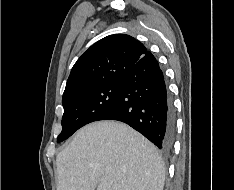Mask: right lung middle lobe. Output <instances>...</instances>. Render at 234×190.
I'll return each mask as SVG.
<instances>
[{
    "label": "right lung middle lobe",
    "instance_id": "dd1d6c3e",
    "mask_svg": "<svg viewBox=\"0 0 234 190\" xmlns=\"http://www.w3.org/2000/svg\"><path fill=\"white\" fill-rule=\"evenodd\" d=\"M120 88L121 81H116L78 92L63 100L62 132L57 142L66 140L84 125L97 121L115 103Z\"/></svg>",
    "mask_w": 234,
    "mask_h": 190
}]
</instances>
